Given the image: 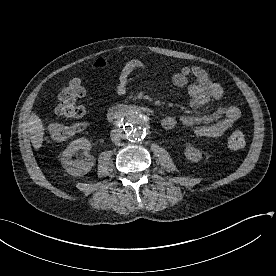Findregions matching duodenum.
Masks as SVG:
<instances>
[{
	"label": "duodenum",
	"instance_id": "duodenum-1",
	"mask_svg": "<svg viewBox=\"0 0 276 276\" xmlns=\"http://www.w3.org/2000/svg\"><path fill=\"white\" fill-rule=\"evenodd\" d=\"M133 109H135V107L125 106V105L114 106L109 109V111L107 113V118L109 121L114 122V121L120 119L122 116H124L129 111H132Z\"/></svg>",
	"mask_w": 276,
	"mask_h": 276
}]
</instances>
